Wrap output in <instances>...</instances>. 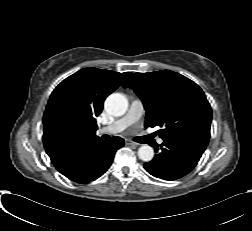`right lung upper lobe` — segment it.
I'll list each match as a JSON object with an SVG mask.
<instances>
[{
    "instance_id": "1",
    "label": "right lung upper lobe",
    "mask_w": 252,
    "mask_h": 231,
    "mask_svg": "<svg viewBox=\"0 0 252 231\" xmlns=\"http://www.w3.org/2000/svg\"><path fill=\"white\" fill-rule=\"evenodd\" d=\"M130 75L85 68L63 80L52 92L43 116V143L59 172L73 159L79 143L96 136V120L105 98Z\"/></svg>"
}]
</instances>
